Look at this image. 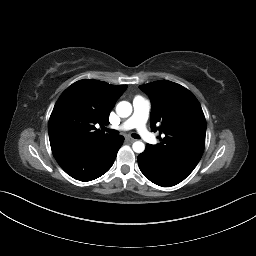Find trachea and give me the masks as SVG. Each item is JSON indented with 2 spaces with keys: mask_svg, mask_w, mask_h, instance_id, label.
<instances>
[{
  "mask_svg": "<svg viewBox=\"0 0 256 256\" xmlns=\"http://www.w3.org/2000/svg\"><path fill=\"white\" fill-rule=\"evenodd\" d=\"M105 130L110 134V135H117L118 131L117 130H113V129H106ZM132 137L135 139H139L140 136L138 134H132Z\"/></svg>",
  "mask_w": 256,
  "mask_h": 256,
  "instance_id": "1",
  "label": "trachea"
}]
</instances>
